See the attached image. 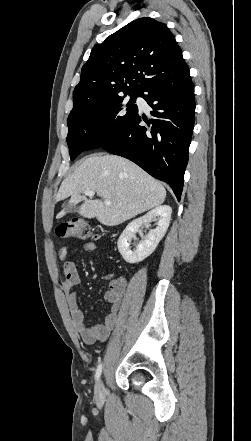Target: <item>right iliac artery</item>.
Listing matches in <instances>:
<instances>
[{
  "instance_id": "82829eb1",
  "label": "right iliac artery",
  "mask_w": 251,
  "mask_h": 441,
  "mask_svg": "<svg viewBox=\"0 0 251 441\" xmlns=\"http://www.w3.org/2000/svg\"><path fill=\"white\" fill-rule=\"evenodd\" d=\"M102 372V363H100L96 369L95 378L98 380Z\"/></svg>"
}]
</instances>
